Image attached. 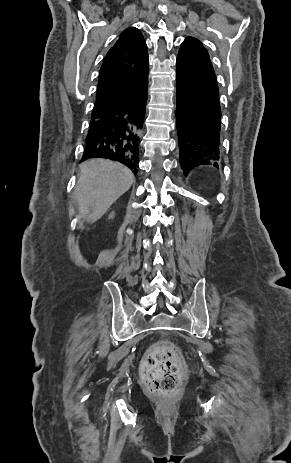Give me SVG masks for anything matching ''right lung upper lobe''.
<instances>
[{"label": "right lung upper lobe", "instance_id": "1", "mask_svg": "<svg viewBox=\"0 0 291 463\" xmlns=\"http://www.w3.org/2000/svg\"><path fill=\"white\" fill-rule=\"evenodd\" d=\"M148 69L147 45L143 35L137 28L126 29L104 58L91 121L103 118L138 91L148 80Z\"/></svg>", "mask_w": 291, "mask_h": 463}]
</instances>
